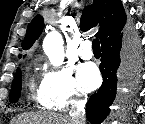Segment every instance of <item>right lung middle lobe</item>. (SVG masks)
Returning <instances> with one entry per match:
<instances>
[{
    "label": "right lung middle lobe",
    "instance_id": "right-lung-middle-lobe-1",
    "mask_svg": "<svg viewBox=\"0 0 145 124\" xmlns=\"http://www.w3.org/2000/svg\"><path fill=\"white\" fill-rule=\"evenodd\" d=\"M21 85H22V74L20 68H18L14 80L12 82L11 92L9 96V100L11 103H15L18 101L21 93Z\"/></svg>",
    "mask_w": 145,
    "mask_h": 124
}]
</instances>
